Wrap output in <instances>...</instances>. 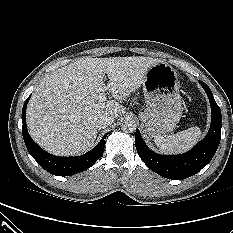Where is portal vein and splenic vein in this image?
Segmentation results:
<instances>
[{
  "label": "portal vein and splenic vein",
  "instance_id": "18ae733b",
  "mask_svg": "<svg viewBox=\"0 0 233 233\" xmlns=\"http://www.w3.org/2000/svg\"><path fill=\"white\" fill-rule=\"evenodd\" d=\"M99 100L100 101H105L106 100V94L105 93H100L99 94Z\"/></svg>",
  "mask_w": 233,
  "mask_h": 233
}]
</instances>
